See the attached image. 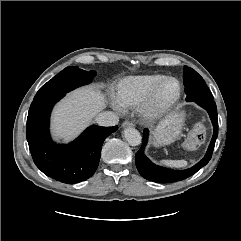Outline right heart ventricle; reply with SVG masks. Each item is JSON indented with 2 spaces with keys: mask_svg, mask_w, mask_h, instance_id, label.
<instances>
[{
  "mask_svg": "<svg viewBox=\"0 0 241 241\" xmlns=\"http://www.w3.org/2000/svg\"><path fill=\"white\" fill-rule=\"evenodd\" d=\"M165 77L162 74H145L120 80L115 86L116 102L123 108L139 106L156 84Z\"/></svg>",
  "mask_w": 241,
  "mask_h": 241,
  "instance_id": "e07e8e85",
  "label": "right heart ventricle"
}]
</instances>
